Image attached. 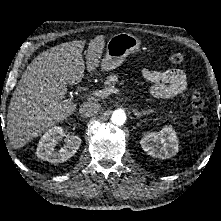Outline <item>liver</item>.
<instances>
[{
	"label": "liver",
	"instance_id": "1",
	"mask_svg": "<svg viewBox=\"0 0 221 221\" xmlns=\"http://www.w3.org/2000/svg\"><path fill=\"white\" fill-rule=\"evenodd\" d=\"M84 40L62 43L38 55L26 68L10 100L7 134L14 149L24 147L48 128L72 115L77 104L64 99L68 85L80 83ZM105 46L103 35L89 43L88 72L96 70Z\"/></svg>",
	"mask_w": 221,
	"mask_h": 221
}]
</instances>
